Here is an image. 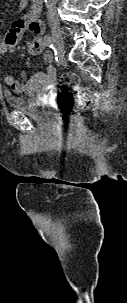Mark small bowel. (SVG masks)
<instances>
[{"instance_id":"small-bowel-1","label":"small bowel","mask_w":127,"mask_h":303,"mask_svg":"<svg viewBox=\"0 0 127 303\" xmlns=\"http://www.w3.org/2000/svg\"><path fill=\"white\" fill-rule=\"evenodd\" d=\"M14 1V0H10ZM22 4L18 8H22ZM42 9V0H30L29 11L21 18L12 22L9 30L4 35L0 32V62L6 53H14L17 43H19L26 33L34 35L32 41L27 44L28 52L32 55L42 54V60L46 65L44 72H37L28 78L27 72L22 71L21 77L24 80L19 82L13 76H6L4 83L16 93H35L41 86L52 87L55 68L52 64L53 54L46 49V43L43 38L44 23L39 16Z\"/></svg>"}]
</instances>
